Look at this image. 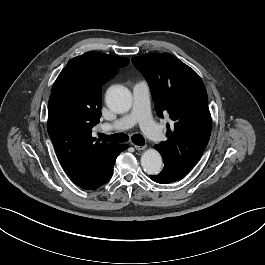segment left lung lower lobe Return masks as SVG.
<instances>
[{
	"label": "left lung lower lobe",
	"instance_id": "0a47b994",
	"mask_svg": "<svg viewBox=\"0 0 265 265\" xmlns=\"http://www.w3.org/2000/svg\"><path fill=\"white\" fill-rule=\"evenodd\" d=\"M155 148L157 149L156 145H155ZM150 178L153 181L157 183H161V184H168V183L175 182L181 179L179 176L173 174L169 169H165V168L162 170L160 174L150 176Z\"/></svg>",
	"mask_w": 265,
	"mask_h": 265
}]
</instances>
